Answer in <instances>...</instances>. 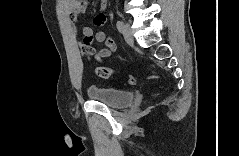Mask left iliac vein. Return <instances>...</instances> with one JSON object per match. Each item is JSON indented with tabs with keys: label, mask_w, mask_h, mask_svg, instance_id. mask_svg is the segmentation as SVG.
Segmentation results:
<instances>
[{
	"label": "left iliac vein",
	"mask_w": 239,
	"mask_h": 156,
	"mask_svg": "<svg viewBox=\"0 0 239 156\" xmlns=\"http://www.w3.org/2000/svg\"><path fill=\"white\" fill-rule=\"evenodd\" d=\"M122 32H123L125 41L130 44L133 43V35H132V31H131L129 24H127V23L123 24Z\"/></svg>",
	"instance_id": "left-iliac-vein-1"
}]
</instances>
